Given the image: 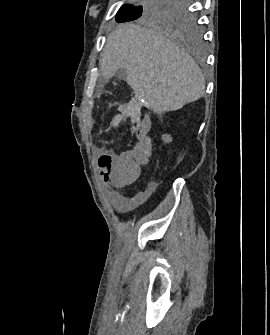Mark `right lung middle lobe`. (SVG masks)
Here are the masks:
<instances>
[{
	"label": "right lung middle lobe",
	"instance_id": "dd1d6c3e",
	"mask_svg": "<svg viewBox=\"0 0 270 335\" xmlns=\"http://www.w3.org/2000/svg\"><path fill=\"white\" fill-rule=\"evenodd\" d=\"M140 21L170 33L182 42L199 45L202 29L186 0H134L121 6L118 23Z\"/></svg>",
	"mask_w": 270,
	"mask_h": 335
}]
</instances>
